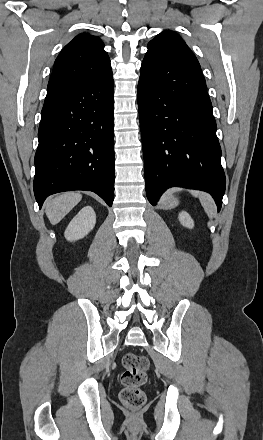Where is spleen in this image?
I'll use <instances>...</instances> for the list:
<instances>
[{
  "mask_svg": "<svg viewBox=\"0 0 263 440\" xmlns=\"http://www.w3.org/2000/svg\"><path fill=\"white\" fill-rule=\"evenodd\" d=\"M192 194L195 197L199 198L201 205L203 206L208 217L212 218L215 211H216V205H215L212 197L209 194H207L205 192H201V191H192Z\"/></svg>",
  "mask_w": 263,
  "mask_h": 440,
  "instance_id": "spleen-1",
  "label": "spleen"
}]
</instances>
